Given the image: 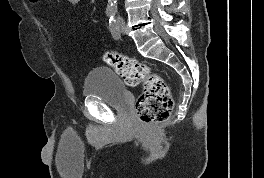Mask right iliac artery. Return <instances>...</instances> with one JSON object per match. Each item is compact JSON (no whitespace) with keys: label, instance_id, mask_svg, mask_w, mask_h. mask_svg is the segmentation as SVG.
Listing matches in <instances>:
<instances>
[{"label":"right iliac artery","instance_id":"1","mask_svg":"<svg viewBox=\"0 0 264 178\" xmlns=\"http://www.w3.org/2000/svg\"><path fill=\"white\" fill-rule=\"evenodd\" d=\"M112 14H113V11H110V10H109V11H107V16H108V17H111V16H112Z\"/></svg>","mask_w":264,"mask_h":178}]
</instances>
